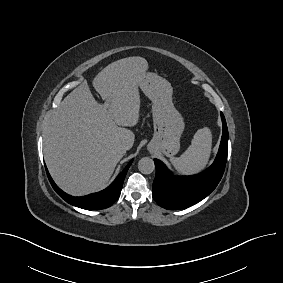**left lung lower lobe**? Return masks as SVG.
Listing matches in <instances>:
<instances>
[{
    "instance_id": "0a47b994",
    "label": "left lung lower lobe",
    "mask_w": 283,
    "mask_h": 283,
    "mask_svg": "<svg viewBox=\"0 0 283 283\" xmlns=\"http://www.w3.org/2000/svg\"><path fill=\"white\" fill-rule=\"evenodd\" d=\"M223 132L218 154L213 164L200 174L193 176H172L167 167L154 159L156 176L152 196L157 204L165 209L188 208L207 197L220 182L227 161L228 129L221 113Z\"/></svg>"
}]
</instances>
